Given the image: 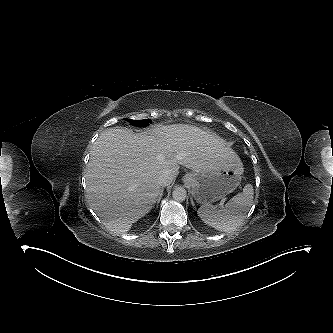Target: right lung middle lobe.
I'll use <instances>...</instances> for the list:
<instances>
[{
	"instance_id": "dd1d6c3e",
	"label": "right lung middle lobe",
	"mask_w": 333,
	"mask_h": 333,
	"mask_svg": "<svg viewBox=\"0 0 333 333\" xmlns=\"http://www.w3.org/2000/svg\"><path fill=\"white\" fill-rule=\"evenodd\" d=\"M129 123L135 125V126H141L145 127L148 126L152 121L150 119H144V120H131V119H125Z\"/></svg>"
}]
</instances>
